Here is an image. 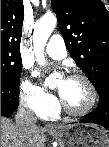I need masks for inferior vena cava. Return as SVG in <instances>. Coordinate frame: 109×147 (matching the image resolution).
<instances>
[{
	"instance_id": "1",
	"label": "inferior vena cava",
	"mask_w": 109,
	"mask_h": 147,
	"mask_svg": "<svg viewBox=\"0 0 109 147\" xmlns=\"http://www.w3.org/2000/svg\"><path fill=\"white\" fill-rule=\"evenodd\" d=\"M15 120L18 130L23 136V140L26 143L31 142L32 135L37 128V118L34 115L33 111L29 108L20 106L18 108Z\"/></svg>"
}]
</instances>
